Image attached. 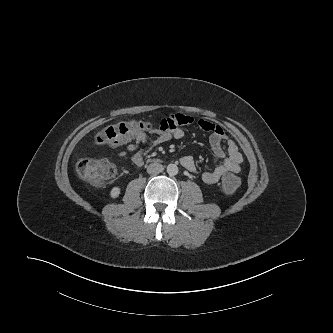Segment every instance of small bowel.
<instances>
[{
	"label": "small bowel",
	"mask_w": 333,
	"mask_h": 333,
	"mask_svg": "<svg viewBox=\"0 0 333 333\" xmlns=\"http://www.w3.org/2000/svg\"><path fill=\"white\" fill-rule=\"evenodd\" d=\"M193 123V118L183 114H174L160 121L158 129L151 131V136L141 135L133 142L125 145L118 155L131 164L139 166L142 164L144 156L153 147L164 144L172 139H181L184 136L183 125ZM198 126L209 133V143L214 153V158L219 163L213 170L206 171L202 174V180L206 184H215L219 179L228 172L239 173L242 155L239 152L237 144L226 137L223 129L210 121L199 120ZM143 149L139 150V146ZM226 149V153L224 151ZM181 164L189 171H195V161L192 156L186 155L181 158Z\"/></svg>",
	"instance_id": "c3829d8e"
}]
</instances>
